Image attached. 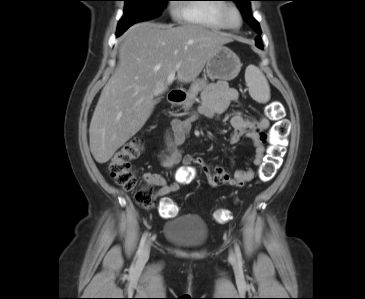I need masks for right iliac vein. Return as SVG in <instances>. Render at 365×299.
Here are the masks:
<instances>
[{"mask_svg":"<svg viewBox=\"0 0 365 299\" xmlns=\"http://www.w3.org/2000/svg\"><path fill=\"white\" fill-rule=\"evenodd\" d=\"M149 254H150V243L148 242L145 245V247L140 255V262H143V263L146 262L149 258Z\"/></svg>","mask_w":365,"mask_h":299,"instance_id":"right-iliac-vein-1","label":"right iliac vein"}]
</instances>
